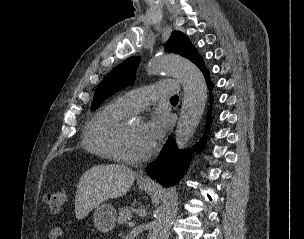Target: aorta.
<instances>
[{
  "label": "aorta",
  "mask_w": 304,
  "mask_h": 239,
  "mask_svg": "<svg viewBox=\"0 0 304 239\" xmlns=\"http://www.w3.org/2000/svg\"><path fill=\"white\" fill-rule=\"evenodd\" d=\"M149 71L156 75L176 77L184 88L183 104L175 131L178 149H184L193 136L205 110L207 85L199 68L180 56L159 55L148 63ZM178 194L176 187L169 188L163 195L153 223L152 239H168L170 228L177 212Z\"/></svg>",
  "instance_id": "obj_1"
}]
</instances>
